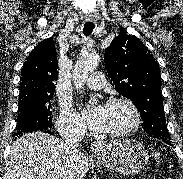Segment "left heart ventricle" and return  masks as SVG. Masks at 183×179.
Wrapping results in <instances>:
<instances>
[{"mask_svg": "<svg viewBox=\"0 0 183 179\" xmlns=\"http://www.w3.org/2000/svg\"><path fill=\"white\" fill-rule=\"evenodd\" d=\"M132 122V113L124 104L105 106V120L102 131L112 132L128 127Z\"/></svg>", "mask_w": 183, "mask_h": 179, "instance_id": "left-heart-ventricle-1", "label": "left heart ventricle"}]
</instances>
